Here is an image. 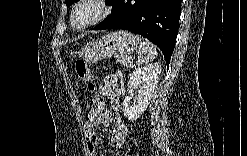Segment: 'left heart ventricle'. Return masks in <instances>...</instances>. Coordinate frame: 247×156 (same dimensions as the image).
Returning a JSON list of instances; mask_svg holds the SVG:
<instances>
[{"instance_id": "1", "label": "left heart ventricle", "mask_w": 247, "mask_h": 156, "mask_svg": "<svg viewBox=\"0 0 247 156\" xmlns=\"http://www.w3.org/2000/svg\"><path fill=\"white\" fill-rule=\"evenodd\" d=\"M99 13V8L92 4H85L76 11L74 22L76 25H84L93 20Z\"/></svg>"}]
</instances>
